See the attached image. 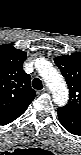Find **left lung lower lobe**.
<instances>
[{"label":"left lung lower lobe","mask_w":81,"mask_h":155,"mask_svg":"<svg viewBox=\"0 0 81 155\" xmlns=\"http://www.w3.org/2000/svg\"><path fill=\"white\" fill-rule=\"evenodd\" d=\"M63 127L72 134H79L81 131V119L68 115L61 109L57 111Z\"/></svg>","instance_id":"left-lung-lower-lobe-1"}]
</instances>
